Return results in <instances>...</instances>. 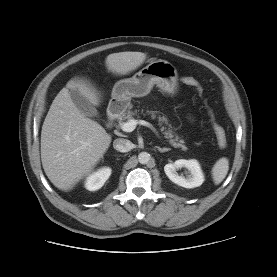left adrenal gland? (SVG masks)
Segmentation results:
<instances>
[{"label": "left adrenal gland", "instance_id": "a2214340", "mask_svg": "<svg viewBox=\"0 0 277 277\" xmlns=\"http://www.w3.org/2000/svg\"><path fill=\"white\" fill-rule=\"evenodd\" d=\"M157 148H158V151L161 152V153L171 150L170 148H161V147H157Z\"/></svg>", "mask_w": 277, "mask_h": 277}]
</instances>
